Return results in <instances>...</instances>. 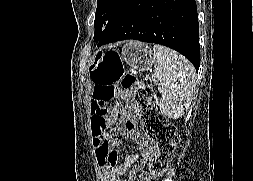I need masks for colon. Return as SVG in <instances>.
Instances as JSON below:
<instances>
[{
    "instance_id": "5ec220e1",
    "label": "colon",
    "mask_w": 253,
    "mask_h": 181,
    "mask_svg": "<svg viewBox=\"0 0 253 181\" xmlns=\"http://www.w3.org/2000/svg\"><path fill=\"white\" fill-rule=\"evenodd\" d=\"M94 84L92 104L94 117L104 119L108 103L117 95L119 88L132 91L134 108L131 115L139 119L140 128L155 144L157 154L149 163L152 178L162 176L169 168L174 150L176 127L160 114L152 99L150 89L132 73H125L120 57L115 52L98 51V57L90 69Z\"/></svg>"
}]
</instances>
